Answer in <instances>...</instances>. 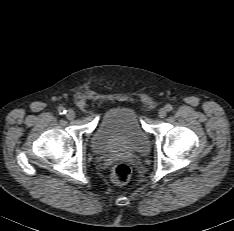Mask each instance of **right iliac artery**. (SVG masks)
<instances>
[{
    "instance_id": "obj_1",
    "label": "right iliac artery",
    "mask_w": 234,
    "mask_h": 231,
    "mask_svg": "<svg viewBox=\"0 0 234 231\" xmlns=\"http://www.w3.org/2000/svg\"><path fill=\"white\" fill-rule=\"evenodd\" d=\"M58 112H59L60 115H63V114L66 113V109L64 107H59Z\"/></svg>"
}]
</instances>
